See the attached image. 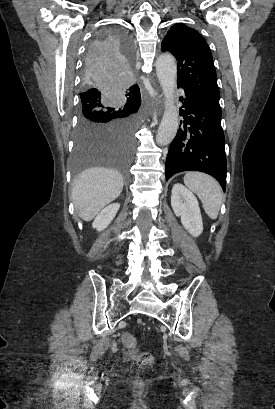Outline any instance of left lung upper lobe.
I'll use <instances>...</instances> for the list:
<instances>
[{"mask_svg": "<svg viewBox=\"0 0 275 409\" xmlns=\"http://www.w3.org/2000/svg\"><path fill=\"white\" fill-rule=\"evenodd\" d=\"M161 47L178 61L177 84L220 96L210 48L196 30L175 24L167 32Z\"/></svg>", "mask_w": 275, "mask_h": 409, "instance_id": "obj_1", "label": "left lung upper lobe"}]
</instances>
